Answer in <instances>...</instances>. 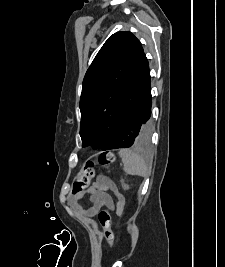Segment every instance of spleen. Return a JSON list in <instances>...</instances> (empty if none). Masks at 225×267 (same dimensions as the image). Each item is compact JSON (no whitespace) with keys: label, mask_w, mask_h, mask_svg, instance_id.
Instances as JSON below:
<instances>
[{"label":"spleen","mask_w":225,"mask_h":267,"mask_svg":"<svg viewBox=\"0 0 225 267\" xmlns=\"http://www.w3.org/2000/svg\"><path fill=\"white\" fill-rule=\"evenodd\" d=\"M119 156L124 165V172L128 175H136L146 178L149 175V169L145 160L135 152L122 149L119 151Z\"/></svg>","instance_id":"1"}]
</instances>
